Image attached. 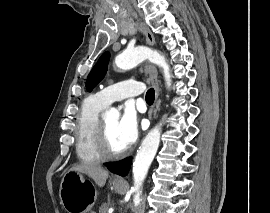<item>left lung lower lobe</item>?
<instances>
[{
    "label": "left lung lower lobe",
    "mask_w": 270,
    "mask_h": 213,
    "mask_svg": "<svg viewBox=\"0 0 270 213\" xmlns=\"http://www.w3.org/2000/svg\"><path fill=\"white\" fill-rule=\"evenodd\" d=\"M131 161L132 158L130 157L118 162H114L108 166V169L115 174L126 176L130 169Z\"/></svg>",
    "instance_id": "left-lung-lower-lobe-1"
}]
</instances>
